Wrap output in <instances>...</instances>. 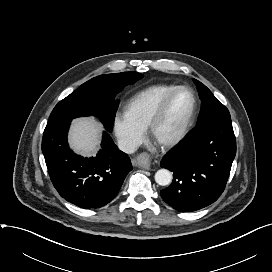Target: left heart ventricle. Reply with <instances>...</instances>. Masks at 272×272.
I'll use <instances>...</instances> for the list:
<instances>
[{"mask_svg": "<svg viewBox=\"0 0 272 272\" xmlns=\"http://www.w3.org/2000/svg\"><path fill=\"white\" fill-rule=\"evenodd\" d=\"M193 105L189 92L180 91L173 98L168 111L156 129L155 137L158 141H165L176 136L187 120Z\"/></svg>", "mask_w": 272, "mask_h": 272, "instance_id": "left-heart-ventricle-1", "label": "left heart ventricle"}]
</instances>
